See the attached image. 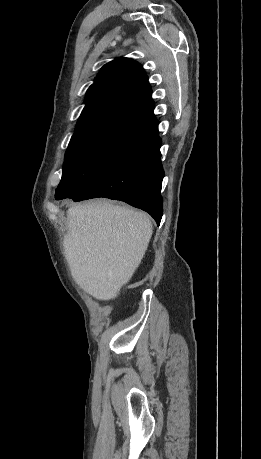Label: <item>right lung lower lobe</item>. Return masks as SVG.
<instances>
[{"label": "right lung lower lobe", "instance_id": "obj_1", "mask_svg": "<svg viewBox=\"0 0 261 459\" xmlns=\"http://www.w3.org/2000/svg\"><path fill=\"white\" fill-rule=\"evenodd\" d=\"M161 139L157 126L132 152L90 183L80 194L69 198L81 201L106 197L124 201L147 211L160 224L164 171L160 162Z\"/></svg>", "mask_w": 261, "mask_h": 459}]
</instances>
